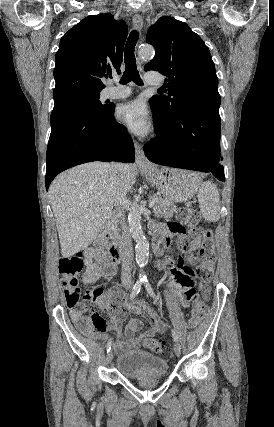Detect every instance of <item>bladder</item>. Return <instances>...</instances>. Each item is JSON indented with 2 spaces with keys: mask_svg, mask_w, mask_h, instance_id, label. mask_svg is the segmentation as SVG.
I'll list each match as a JSON object with an SVG mask.
<instances>
[{
  "mask_svg": "<svg viewBox=\"0 0 274 427\" xmlns=\"http://www.w3.org/2000/svg\"><path fill=\"white\" fill-rule=\"evenodd\" d=\"M116 372L128 379L167 376L169 365L166 359L143 349H132L116 357Z\"/></svg>",
  "mask_w": 274,
  "mask_h": 427,
  "instance_id": "31cf9c89",
  "label": "bladder"
}]
</instances>
